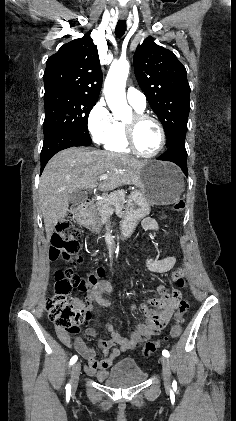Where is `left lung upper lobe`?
Masks as SVG:
<instances>
[{
  "label": "left lung upper lobe",
  "mask_w": 236,
  "mask_h": 421,
  "mask_svg": "<svg viewBox=\"0 0 236 421\" xmlns=\"http://www.w3.org/2000/svg\"><path fill=\"white\" fill-rule=\"evenodd\" d=\"M134 72L150 107L161 121L170 147L184 140L190 111L186 69L175 54L149 37L135 51Z\"/></svg>",
  "instance_id": "1"
}]
</instances>
